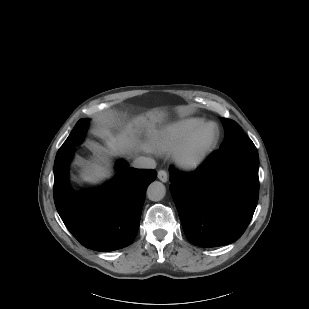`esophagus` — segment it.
Segmentation results:
<instances>
[{"mask_svg": "<svg viewBox=\"0 0 309 309\" xmlns=\"http://www.w3.org/2000/svg\"><path fill=\"white\" fill-rule=\"evenodd\" d=\"M157 176H158V179L162 182L168 181V174L165 170H159Z\"/></svg>", "mask_w": 309, "mask_h": 309, "instance_id": "1", "label": "esophagus"}]
</instances>
